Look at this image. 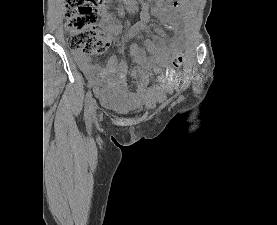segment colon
<instances>
[{
  "label": "colon",
  "mask_w": 277,
  "mask_h": 225,
  "mask_svg": "<svg viewBox=\"0 0 277 225\" xmlns=\"http://www.w3.org/2000/svg\"><path fill=\"white\" fill-rule=\"evenodd\" d=\"M100 0H68L66 11V32L68 46L77 55L101 54L107 48V42L102 37L96 23L95 8ZM184 64V56L176 54L172 60L173 78Z\"/></svg>",
  "instance_id": "5ec220e1"
}]
</instances>
